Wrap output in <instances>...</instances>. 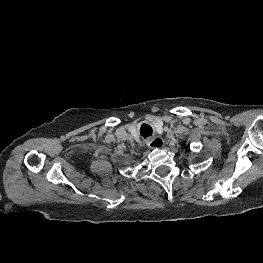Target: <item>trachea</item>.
I'll use <instances>...</instances> for the list:
<instances>
[{
	"mask_svg": "<svg viewBox=\"0 0 263 263\" xmlns=\"http://www.w3.org/2000/svg\"><path fill=\"white\" fill-rule=\"evenodd\" d=\"M140 133L144 138H147L152 135L153 130L149 125L143 124L140 129Z\"/></svg>",
	"mask_w": 263,
	"mask_h": 263,
	"instance_id": "obj_1",
	"label": "trachea"
}]
</instances>
